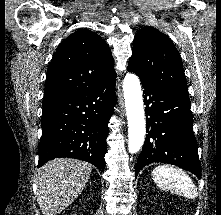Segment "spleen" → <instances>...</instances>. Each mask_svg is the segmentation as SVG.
Returning <instances> with one entry per match:
<instances>
[{
    "label": "spleen",
    "mask_w": 221,
    "mask_h": 215,
    "mask_svg": "<svg viewBox=\"0 0 221 215\" xmlns=\"http://www.w3.org/2000/svg\"><path fill=\"white\" fill-rule=\"evenodd\" d=\"M154 182L163 190L183 195L194 199L198 192L192 179L182 169L171 166L161 165L152 171Z\"/></svg>",
    "instance_id": "1"
}]
</instances>
